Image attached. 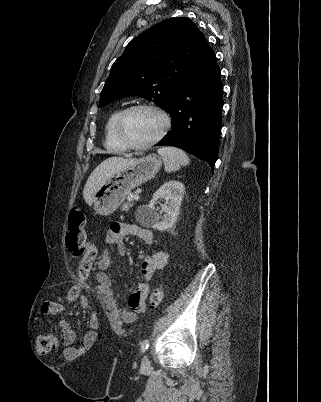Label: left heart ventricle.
I'll return each instance as SVG.
<instances>
[{
	"mask_svg": "<svg viewBox=\"0 0 321 402\" xmlns=\"http://www.w3.org/2000/svg\"><path fill=\"white\" fill-rule=\"evenodd\" d=\"M162 119L151 110H135L130 112L123 123V133L134 144H143L158 135L162 128Z\"/></svg>",
	"mask_w": 321,
	"mask_h": 402,
	"instance_id": "obj_1",
	"label": "left heart ventricle"
}]
</instances>
